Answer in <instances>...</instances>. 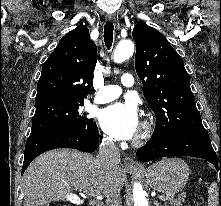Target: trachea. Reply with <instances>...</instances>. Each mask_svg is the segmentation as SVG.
Segmentation results:
<instances>
[{
	"mask_svg": "<svg viewBox=\"0 0 221 206\" xmlns=\"http://www.w3.org/2000/svg\"><path fill=\"white\" fill-rule=\"evenodd\" d=\"M113 30L114 26L112 22H106L104 25V42L108 49L111 48L113 43Z\"/></svg>",
	"mask_w": 221,
	"mask_h": 206,
	"instance_id": "3493384b",
	"label": "trachea"
}]
</instances>
